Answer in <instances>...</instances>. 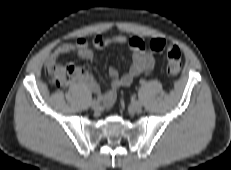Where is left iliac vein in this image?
Segmentation results:
<instances>
[{
    "instance_id": "1",
    "label": "left iliac vein",
    "mask_w": 231,
    "mask_h": 170,
    "mask_svg": "<svg viewBox=\"0 0 231 170\" xmlns=\"http://www.w3.org/2000/svg\"><path fill=\"white\" fill-rule=\"evenodd\" d=\"M132 111L134 112H140L142 109V103L140 101H134L130 105Z\"/></svg>"
}]
</instances>
